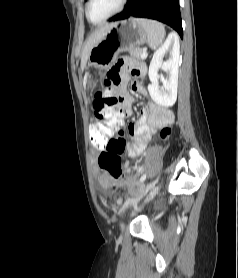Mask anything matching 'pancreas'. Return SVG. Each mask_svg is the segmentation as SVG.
Segmentation results:
<instances>
[{
  "label": "pancreas",
  "mask_w": 238,
  "mask_h": 278,
  "mask_svg": "<svg viewBox=\"0 0 238 278\" xmlns=\"http://www.w3.org/2000/svg\"><path fill=\"white\" fill-rule=\"evenodd\" d=\"M128 50H129V53H130L131 56L142 59L141 55L143 53V49H141L139 47H130Z\"/></svg>",
  "instance_id": "cf45deb5"
}]
</instances>
